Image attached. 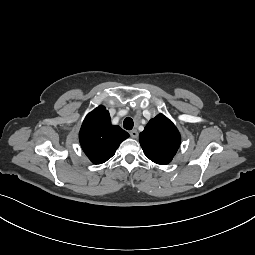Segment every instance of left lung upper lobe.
Masks as SVG:
<instances>
[{
    "instance_id": "5c2ea615",
    "label": "left lung upper lobe",
    "mask_w": 255,
    "mask_h": 255,
    "mask_svg": "<svg viewBox=\"0 0 255 255\" xmlns=\"http://www.w3.org/2000/svg\"><path fill=\"white\" fill-rule=\"evenodd\" d=\"M180 141L177 128L163 114L151 119L139 136V142L147 158L161 165L171 162Z\"/></svg>"
}]
</instances>
